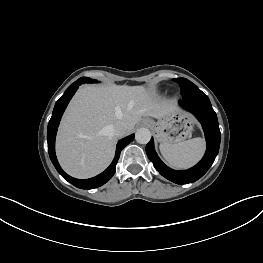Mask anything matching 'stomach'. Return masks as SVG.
Masks as SVG:
<instances>
[{"instance_id":"1","label":"stomach","mask_w":263,"mask_h":263,"mask_svg":"<svg viewBox=\"0 0 263 263\" xmlns=\"http://www.w3.org/2000/svg\"><path fill=\"white\" fill-rule=\"evenodd\" d=\"M149 124L160 143L173 144L189 138L196 121L190 114L177 111L157 122L149 120Z\"/></svg>"}]
</instances>
